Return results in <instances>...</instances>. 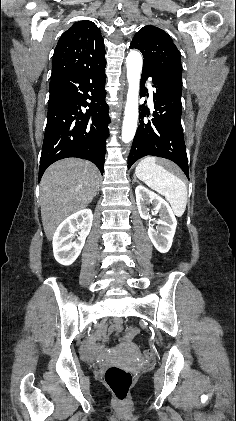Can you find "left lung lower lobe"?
Wrapping results in <instances>:
<instances>
[{"label":"left lung lower lobe","instance_id":"left-lung-lower-lobe-1","mask_svg":"<svg viewBox=\"0 0 236 421\" xmlns=\"http://www.w3.org/2000/svg\"><path fill=\"white\" fill-rule=\"evenodd\" d=\"M151 77L153 87L154 112L153 118L144 119L145 106L139 116L140 124L133 140L128 158V168L138 159L153 155L167 158L175 162L189 179L188 159L181 125V94L182 83L173 77L155 75L143 68L142 85ZM141 108V107H140Z\"/></svg>","mask_w":236,"mask_h":421}]
</instances>
